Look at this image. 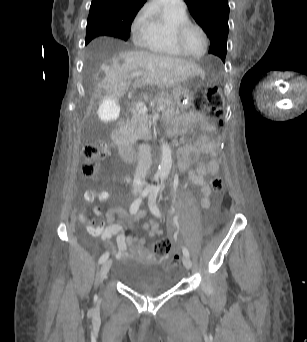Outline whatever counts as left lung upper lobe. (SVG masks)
Masks as SVG:
<instances>
[{"instance_id": "obj_1", "label": "left lung upper lobe", "mask_w": 307, "mask_h": 342, "mask_svg": "<svg viewBox=\"0 0 307 342\" xmlns=\"http://www.w3.org/2000/svg\"><path fill=\"white\" fill-rule=\"evenodd\" d=\"M191 15L210 39L209 53L225 62L229 32L227 0H184Z\"/></svg>"}]
</instances>
